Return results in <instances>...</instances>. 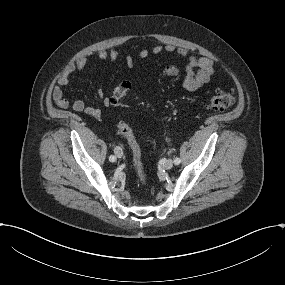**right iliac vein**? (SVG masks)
Returning a JSON list of instances; mask_svg holds the SVG:
<instances>
[{
    "mask_svg": "<svg viewBox=\"0 0 285 285\" xmlns=\"http://www.w3.org/2000/svg\"><path fill=\"white\" fill-rule=\"evenodd\" d=\"M115 154L118 158H121L123 156V151L120 147L115 148Z\"/></svg>",
    "mask_w": 285,
    "mask_h": 285,
    "instance_id": "63e3f726",
    "label": "right iliac vein"
}]
</instances>
